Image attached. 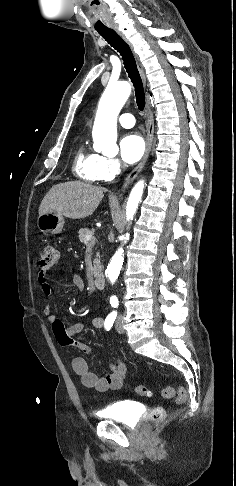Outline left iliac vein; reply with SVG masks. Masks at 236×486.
<instances>
[{
	"mask_svg": "<svg viewBox=\"0 0 236 486\" xmlns=\"http://www.w3.org/2000/svg\"><path fill=\"white\" fill-rule=\"evenodd\" d=\"M115 329L120 334L124 333L123 318H122V316H119L117 318L116 323H115Z\"/></svg>",
	"mask_w": 236,
	"mask_h": 486,
	"instance_id": "1",
	"label": "left iliac vein"
}]
</instances>
